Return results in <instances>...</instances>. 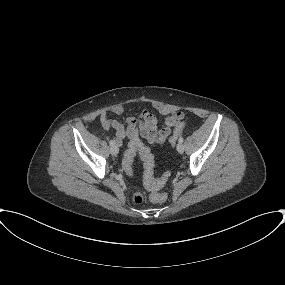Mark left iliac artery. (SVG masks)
<instances>
[{
	"mask_svg": "<svg viewBox=\"0 0 285 285\" xmlns=\"http://www.w3.org/2000/svg\"><path fill=\"white\" fill-rule=\"evenodd\" d=\"M178 141H179V143H183V141H184L183 137H180Z\"/></svg>",
	"mask_w": 285,
	"mask_h": 285,
	"instance_id": "1",
	"label": "left iliac artery"
}]
</instances>
